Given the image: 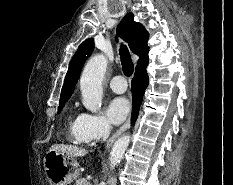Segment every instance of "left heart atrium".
Returning a JSON list of instances; mask_svg holds the SVG:
<instances>
[{
  "instance_id": "39dd6f15",
  "label": "left heart atrium",
  "mask_w": 233,
  "mask_h": 185,
  "mask_svg": "<svg viewBox=\"0 0 233 185\" xmlns=\"http://www.w3.org/2000/svg\"><path fill=\"white\" fill-rule=\"evenodd\" d=\"M130 110V104L124 97L113 98L107 107V117L113 124H120L125 120Z\"/></svg>"
}]
</instances>
